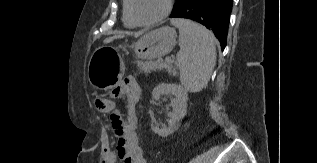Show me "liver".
I'll return each instance as SVG.
<instances>
[{"label":"liver","mask_w":317,"mask_h":163,"mask_svg":"<svg viewBox=\"0 0 317 163\" xmlns=\"http://www.w3.org/2000/svg\"><path fill=\"white\" fill-rule=\"evenodd\" d=\"M123 36H120V35H115V36H112V37H108V38H106L105 40H104V43L105 44H108V43H110V42H112L113 40H115V39H120V38H122Z\"/></svg>","instance_id":"liver-1"}]
</instances>
